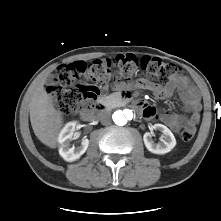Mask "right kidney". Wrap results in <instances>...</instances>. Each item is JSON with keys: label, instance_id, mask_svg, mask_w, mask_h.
Listing matches in <instances>:
<instances>
[{"label": "right kidney", "instance_id": "1", "mask_svg": "<svg viewBox=\"0 0 221 221\" xmlns=\"http://www.w3.org/2000/svg\"><path fill=\"white\" fill-rule=\"evenodd\" d=\"M76 124L77 122L75 121L67 123L61 130L58 137V142L60 143L59 154L67 162H73L79 159L81 155L86 152L89 145V140L87 138H83L79 147H70V142L73 140Z\"/></svg>", "mask_w": 221, "mask_h": 221}]
</instances>
